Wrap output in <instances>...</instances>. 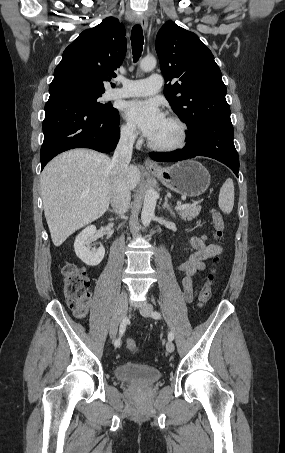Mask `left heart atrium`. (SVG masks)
<instances>
[{
    "mask_svg": "<svg viewBox=\"0 0 285 453\" xmlns=\"http://www.w3.org/2000/svg\"><path fill=\"white\" fill-rule=\"evenodd\" d=\"M125 117L152 139L165 120V114L155 100H132L124 106Z\"/></svg>",
    "mask_w": 285,
    "mask_h": 453,
    "instance_id": "39dd6f15",
    "label": "left heart atrium"
}]
</instances>
